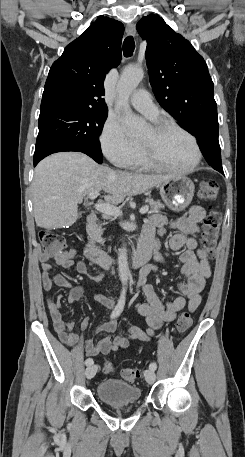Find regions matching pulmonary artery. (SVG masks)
Returning <instances> with one entry per match:
<instances>
[{"mask_svg": "<svg viewBox=\"0 0 245 457\" xmlns=\"http://www.w3.org/2000/svg\"><path fill=\"white\" fill-rule=\"evenodd\" d=\"M138 91L139 93H135L134 96L129 98L131 105L149 118L157 117L158 108L151 100V94L144 93L145 90L142 87Z\"/></svg>", "mask_w": 245, "mask_h": 457, "instance_id": "obj_1", "label": "pulmonary artery"}]
</instances>
